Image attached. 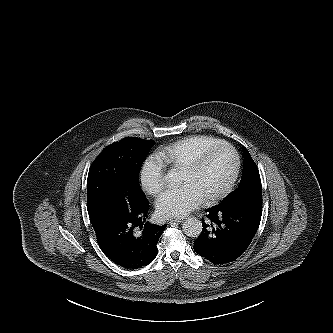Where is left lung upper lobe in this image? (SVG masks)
I'll use <instances>...</instances> for the list:
<instances>
[{
	"label": "left lung upper lobe",
	"mask_w": 333,
	"mask_h": 333,
	"mask_svg": "<svg viewBox=\"0 0 333 333\" xmlns=\"http://www.w3.org/2000/svg\"><path fill=\"white\" fill-rule=\"evenodd\" d=\"M257 194H262L259 170L248 150L244 148V164L240 184L235 191L228 195L219 204H231L245 198L246 196Z\"/></svg>",
	"instance_id": "5c2ea615"
}]
</instances>
